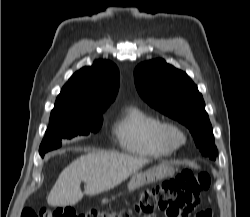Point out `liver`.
Instances as JSON below:
<instances>
[{
  "mask_svg": "<svg viewBox=\"0 0 250 217\" xmlns=\"http://www.w3.org/2000/svg\"><path fill=\"white\" fill-rule=\"evenodd\" d=\"M148 162L144 158L115 152L85 154L63 169L47 203L50 206H73L84 194L96 195L121 184ZM81 181L85 183L84 193L80 189Z\"/></svg>",
  "mask_w": 250,
  "mask_h": 217,
  "instance_id": "6515ba94",
  "label": "liver"
}]
</instances>
